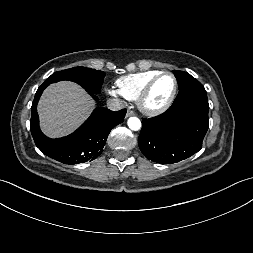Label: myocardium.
<instances>
[{
    "label": "myocardium",
    "mask_w": 253,
    "mask_h": 253,
    "mask_svg": "<svg viewBox=\"0 0 253 253\" xmlns=\"http://www.w3.org/2000/svg\"><path fill=\"white\" fill-rule=\"evenodd\" d=\"M168 75L170 77H172L174 85H173V90L170 94V96L168 97V99L159 107H150L147 104V100L151 94V91L154 87V85L156 84V82L162 77ZM177 92H178V80L176 78V76L170 72V71H162L159 72L156 76H154L148 83L147 85L144 87V89L142 90L141 94L139 95L138 99H137V104L139 109L147 116H158L163 114L164 112H166L173 104L176 96H177Z\"/></svg>",
    "instance_id": "myocardium-1"
}]
</instances>
